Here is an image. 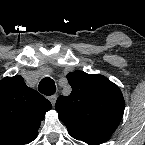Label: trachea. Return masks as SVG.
<instances>
[{
  "instance_id": "1",
  "label": "trachea",
  "mask_w": 145,
  "mask_h": 145,
  "mask_svg": "<svg viewBox=\"0 0 145 145\" xmlns=\"http://www.w3.org/2000/svg\"><path fill=\"white\" fill-rule=\"evenodd\" d=\"M38 90L42 94L50 96L55 93L56 86H55L54 81L51 78L45 77L40 81V83L38 85Z\"/></svg>"
}]
</instances>
